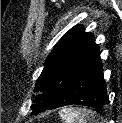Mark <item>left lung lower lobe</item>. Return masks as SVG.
Instances as JSON below:
<instances>
[{"label":"left lung lower lobe","instance_id":"1","mask_svg":"<svg viewBox=\"0 0 122 123\" xmlns=\"http://www.w3.org/2000/svg\"><path fill=\"white\" fill-rule=\"evenodd\" d=\"M107 102L101 59L97 54L79 71L63 95L49 109L73 104L101 109Z\"/></svg>","mask_w":122,"mask_h":123}]
</instances>
